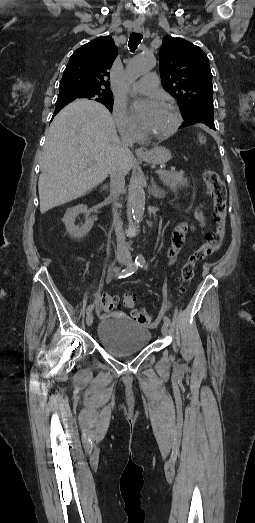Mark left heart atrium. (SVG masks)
<instances>
[{
    "label": "left heart atrium",
    "instance_id": "1",
    "mask_svg": "<svg viewBox=\"0 0 255 523\" xmlns=\"http://www.w3.org/2000/svg\"><path fill=\"white\" fill-rule=\"evenodd\" d=\"M156 107L157 106L153 102H150V103L142 102V103L136 104L133 109V114H134L136 122L140 126L144 127Z\"/></svg>",
    "mask_w": 255,
    "mask_h": 523
}]
</instances>
